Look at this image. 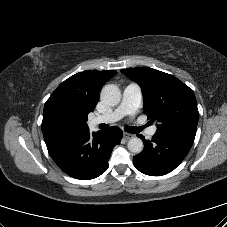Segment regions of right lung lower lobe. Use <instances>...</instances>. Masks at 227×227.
Masks as SVG:
<instances>
[{
	"instance_id": "1",
	"label": "right lung lower lobe",
	"mask_w": 227,
	"mask_h": 227,
	"mask_svg": "<svg viewBox=\"0 0 227 227\" xmlns=\"http://www.w3.org/2000/svg\"><path fill=\"white\" fill-rule=\"evenodd\" d=\"M118 127L90 134L86 131L65 134L45 140L48 152L58 167L81 180L94 179L108 168L113 148L122 139Z\"/></svg>"
}]
</instances>
